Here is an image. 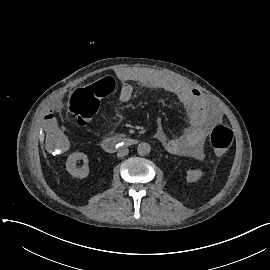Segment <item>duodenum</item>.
<instances>
[{
	"mask_svg": "<svg viewBox=\"0 0 270 270\" xmlns=\"http://www.w3.org/2000/svg\"><path fill=\"white\" fill-rule=\"evenodd\" d=\"M137 140L129 136L107 137L102 142V147L106 152L112 153L119 149L137 144Z\"/></svg>",
	"mask_w": 270,
	"mask_h": 270,
	"instance_id": "obj_1",
	"label": "duodenum"
}]
</instances>
